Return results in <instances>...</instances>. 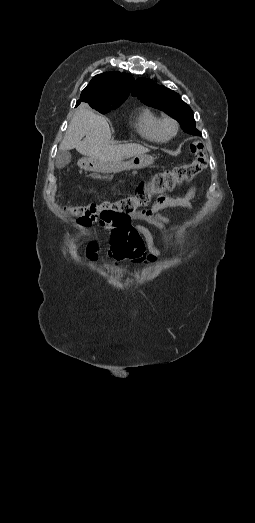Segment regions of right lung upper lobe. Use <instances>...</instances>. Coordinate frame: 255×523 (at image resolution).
<instances>
[{
    "instance_id": "1",
    "label": "right lung upper lobe",
    "mask_w": 255,
    "mask_h": 523,
    "mask_svg": "<svg viewBox=\"0 0 255 523\" xmlns=\"http://www.w3.org/2000/svg\"><path fill=\"white\" fill-rule=\"evenodd\" d=\"M134 78L126 73L105 72L96 75L82 91L81 102L89 105L124 102L131 92Z\"/></svg>"
}]
</instances>
